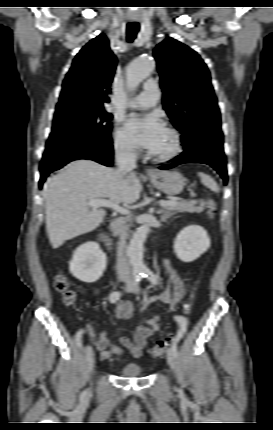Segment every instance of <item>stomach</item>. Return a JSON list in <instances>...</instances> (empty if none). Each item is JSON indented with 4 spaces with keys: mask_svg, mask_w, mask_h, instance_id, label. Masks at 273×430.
Listing matches in <instances>:
<instances>
[{
    "mask_svg": "<svg viewBox=\"0 0 273 430\" xmlns=\"http://www.w3.org/2000/svg\"><path fill=\"white\" fill-rule=\"evenodd\" d=\"M149 178L155 188L170 195L179 194L185 186L184 177L177 171H156Z\"/></svg>",
    "mask_w": 273,
    "mask_h": 430,
    "instance_id": "0dacf381",
    "label": "stomach"
}]
</instances>
